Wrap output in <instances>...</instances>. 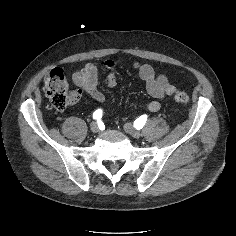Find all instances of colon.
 Instances as JSON below:
<instances>
[{
  "label": "colon",
  "instance_id": "1",
  "mask_svg": "<svg viewBox=\"0 0 236 236\" xmlns=\"http://www.w3.org/2000/svg\"><path fill=\"white\" fill-rule=\"evenodd\" d=\"M44 91L57 110H65L70 104L69 85L62 69L55 68L45 76ZM189 100V95L184 91L174 93V101L179 104H186Z\"/></svg>",
  "mask_w": 236,
  "mask_h": 236
}]
</instances>
